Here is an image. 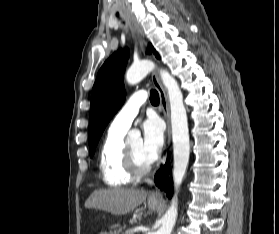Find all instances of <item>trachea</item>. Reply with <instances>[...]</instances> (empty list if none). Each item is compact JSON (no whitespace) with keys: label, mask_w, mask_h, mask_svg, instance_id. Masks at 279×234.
<instances>
[{"label":"trachea","mask_w":279,"mask_h":234,"mask_svg":"<svg viewBox=\"0 0 279 234\" xmlns=\"http://www.w3.org/2000/svg\"><path fill=\"white\" fill-rule=\"evenodd\" d=\"M118 16V14H117ZM150 102L154 105L159 103V94L156 90L150 91Z\"/></svg>","instance_id":"1"}]
</instances>
